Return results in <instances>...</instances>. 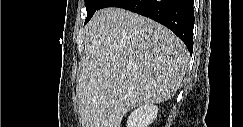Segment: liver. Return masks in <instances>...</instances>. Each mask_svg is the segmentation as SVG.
Listing matches in <instances>:
<instances>
[{
    "label": "liver",
    "mask_w": 243,
    "mask_h": 127,
    "mask_svg": "<svg viewBox=\"0 0 243 127\" xmlns=\"http://www.w3.org/2000/svg\"><path fill=\"white\" fill-rule=\"evenodd\" d=\"M84 45L77 88L84 127H120L136 105L171 99L189 62L185 44L168 28L121 8L97 11Z\"/></svg>",
    "instance_id": "liver-1"
}]
</instances>
